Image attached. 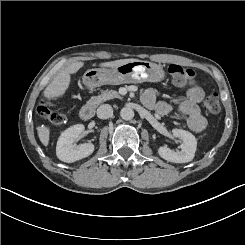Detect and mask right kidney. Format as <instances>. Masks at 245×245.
<instances>
[{
	"mask_svg": "<svg viewBox=\"0 0 245 245\" xmlns=\"http://www.w3.org/2000/svg\"><path fill=\"white\" fill-rule=\"evenodd\" d=\"M84 129L83 124H76L60 135L57 141L56 155L61 161L72 163L93 153L94 145L92 143H84L79 146L74 144Z\"/></svg>",
	"mask_w": 245,
	"mask_h": 245,
	"instance_id": "right-kidney-1",
	"label": "right kidney"
}]
</instances>
